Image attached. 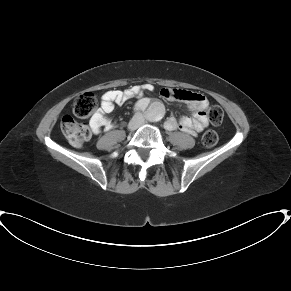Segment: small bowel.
Here are the masks:
<instances>
[{"instance_id": "1", "label": "small bowel", "mask_w": 291, "mask_h": 291, "mask_svg": "<svg viewBox=\"0 0 291 291\" xmlns=\"http://www.w3.org/2000/svg\"><path fill=\"white\" fill-rule=\"evenodd\" d=\"M154 85L151 83H144L142 85L132 86L126 90H112L108 91L102 96L101 108L90 119V126L95 133L101 131H109L114 128V123L106 115L114 110L115 104H122L134 96H141L146 92L154 90ZM159 95L166 100H183L189 103V109L192 117H183L179 121L170 116L165 121V128L168 131L180 129L185 133L197 136L206 129L209 119L206 113L208 106L207 98L196 92L185 90H175L171 88H162ZM149 106L148 99H141L136 104L139 110L146 109Z\"/></svg>"}]
</instances>
